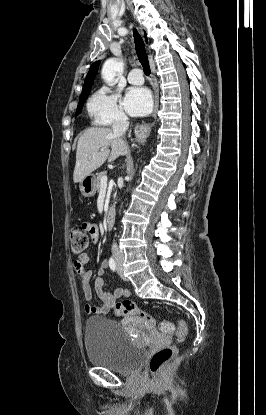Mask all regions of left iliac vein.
<instances>
[{
  "mask_svg": "<svg viewBox=\"0 0 266 415\" xmlns=\"http://www.w3.org/2000/svg\"><path fill=\"white\" fill-rule=\"evenodd\" d=\"M117 273L122 279H125L122 264H121L120 260H118V262H117Z\"/></svg>",
  "mask_w": 266,
  "mask_h": 415,
  "instance_id": "4c4485c4",
  "label": "left iliac vein"
}]
</instances>
